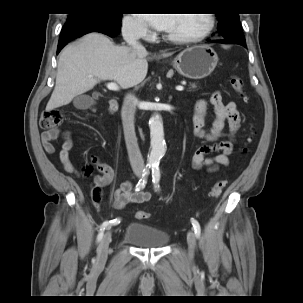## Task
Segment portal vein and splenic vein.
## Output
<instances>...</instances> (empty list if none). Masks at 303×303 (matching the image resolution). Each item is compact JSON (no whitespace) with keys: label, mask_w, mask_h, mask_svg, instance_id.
I'll return each instance as SVG.
<instances>
[{"label":"portal vein and splenic vein","mask_w":303,"mask_h":303,"mask_svg":"<svg viewBox=\"0 0 303 303\" xmlns=\"http://www.w3.org/2000/svg\"><path fill=\"white\" fill-rule=\"evenodd\" d=\"M106 87H107L109 90H111V91H118V90H119L118 85H117L116 83H114V82L107 83ZM176 90H178V91H183V90H184V87L181 86V85H178V86L176 87Z\"/></svg>","instance_id":"portal-vein-and-splenic-vein-1"}]
</instances>
